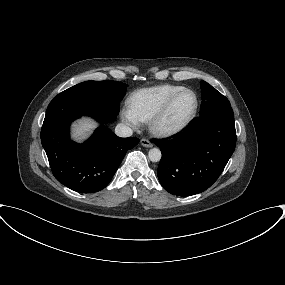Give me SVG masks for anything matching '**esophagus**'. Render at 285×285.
Wrapping results in <instances>:
<instances>
[{"label": "esophagus", "instance_id": "1", "mask_svg": "<svg viewBox=\"0 0 285 285\" xmlns=\"http://www.w3.org/2000/svg\"><path fill=\"white\" fill-rule=\"evenodd\" d=\"M140 143L142 146L148 147V148L153 146L152 143L146 138L141 139Z\"/></svg>", "mask_w": 285, "mask_h": 285}]
</instances>
